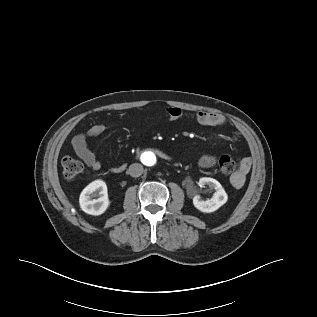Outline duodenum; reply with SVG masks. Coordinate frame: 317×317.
<instances>
[{"mask_svg":"<svg viewBox=\"0 0 317 317\" xmlns=\"http://www.w3.org/2000/svg\"><path fill=\"white\" fill-rule=\"evenodd\" d=\"M162 155H163V157L167 158V156L165 154H162Z\"/></svg>","mask_w":317,"mask_h":317,"instance_id":"1","label":"duodenum"}]
</instances>
